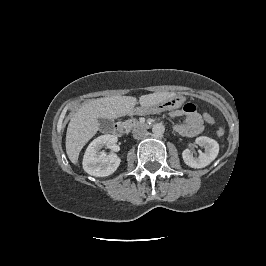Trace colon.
I'll use <instances>...</instances> for the list:
<instances>
[{"mask_svg":"<svg viewBox=\"0 0 266 266\" xmlns=\"http://www.w3.org/2000/svg\"><path fill=\"white\" fill-rule=\"evenodd\" d=\"M203 118H204V121L209 123V124H213L215 122V118L209 113H204ZM224 133H225V131L223 128L217 129V135L218 136H223Z\"/></svg>","mask_w":266,"mask_h":266,"instance_id":"obj_1","label":"colon"}]
</instances>
